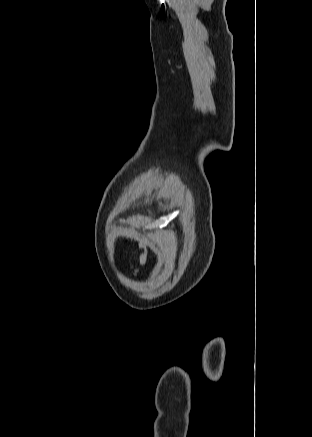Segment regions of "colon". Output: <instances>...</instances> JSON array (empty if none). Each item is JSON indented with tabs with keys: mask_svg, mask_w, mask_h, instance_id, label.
Wrapping results in <instances>:
<instances>
[{
	"mask_svg": "<svg viewBox=\"0 0 312 437\" xmlns=\"http://www.w3.org/2000/svg\"><path fill=\"white\" fill-rule=\"evenodd\" d=\"M146 262V249L143 245H139V252L136 258L134 269L137 271L139 267L144 265Z\"/></svg>",
	"mask_w": 312,
	"mask_h": 437,
	"instance_id": "5ec220e1",
	"label": "colon"
}]
</instances>
